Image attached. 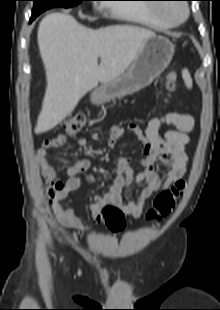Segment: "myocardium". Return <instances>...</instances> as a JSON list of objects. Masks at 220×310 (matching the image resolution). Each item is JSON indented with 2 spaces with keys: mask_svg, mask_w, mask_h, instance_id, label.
Wrapping results in <instances>:
<instances>
[{
  "mask_svg": "<svg viewBox=\"0 0 220 310\" xmlns=\"http://www.w3.org/2000/svg\"><path fill=\"white\" fill-rule=\"evenodd\" d=\"M175 5H178V6H180V7L182 8V14H181V16L178 17V18H172V17H169L168 15H165L164 12H163V11H164L165 5H163V6L160 5V6L156 7V8H155V14H156L159 18H161V19H163V20L169 22V23L172 24V25L181 24V23H183V22L187 19V17H188V14H189L188 6H187L186 4H175Z\"/></svg>",
  "mask_w": 220,
  "mask_h": 310,
  "instance_id": "f54148a6",
  "label": "myocardium"
}]
</instances>
